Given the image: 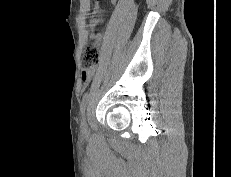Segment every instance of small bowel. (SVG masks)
<instances>
[{
	"mask_svg": "<svg viewBox=\"0 0 231 177\" xmlns=\"http://www.w3.org/2000/svg\"><path fill=\"white\" fill-rule=\"evenodd\" d=\"M100 2L101 0H93L92 2V9L89 18V27L91 29L97 27L102 22ZM111 2L115 4L116 0H111ZM95 39L97 41H101L102 36L97 34L95 35ZM93 75H94V70L92 69L83 71L81 76L83 83H88L93 77Z\"/></svg>",
	"mask_w": 231,
	"mask_h": 177,
	"instance_id": "c3829d8e",
	"label": "small bowel"
}]
</instances>
